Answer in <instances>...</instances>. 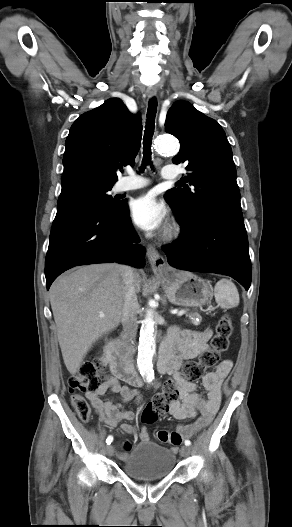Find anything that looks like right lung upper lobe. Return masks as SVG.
Here are the masks:
<instances>
[{
    "instance_id": "1",
    "label": "right lung upper lobe",
    "mask_w": 292,
    "mask_h": 527,
    "mask_svg": "<svg viewBox=\"0 0 292 527\" xmlns=\"http://www.w3.org/2000/svg\"><path fill=\"white\" fill-rule=\"evenodd\" d=\"M141 131L140 116L131 114L119 98L82 114L65 142L62 182L86 177L114 184L118 168L135 164Z\"/></svg>"
}]
</instances>
